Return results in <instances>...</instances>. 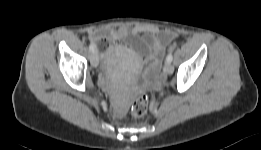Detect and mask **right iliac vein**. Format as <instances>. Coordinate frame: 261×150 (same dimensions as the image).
Masks as SVG:
<instances>
[{"mask_svg": "<svg viewBox=\"0 0 261 150\" xmlns=\"http://www.w3.org/2000/svg\"><path fill=\"white\" fill-rule=\"evenodd\" d=\"M90 62L93 67H97L99 64V58L97 52H93L90 57Z\"/></svg>", "mask_w": 261, "mask_h": 150, "instance_id": "1", "label": "right iliac vein"}]
</instances>
